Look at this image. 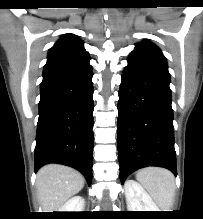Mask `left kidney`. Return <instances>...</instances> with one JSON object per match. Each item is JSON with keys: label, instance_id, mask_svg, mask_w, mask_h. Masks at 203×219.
I'll return each instance as SVG.
<instances>
[{"label": "left kidney", "instance_id": "obj_1", "mask_svg": "<svg viewBox=\"0 0 203 219\" xmlns=\"http://www.w3.org/2000/svg\"><path fill=\"white\" fill-rule=\"evenodd\" d=\"M124 189L128 211H159L152 198L138 182L127 180Z\"/></svg>", "mask_w": 203, "mask_h": 219}]
</instances>
